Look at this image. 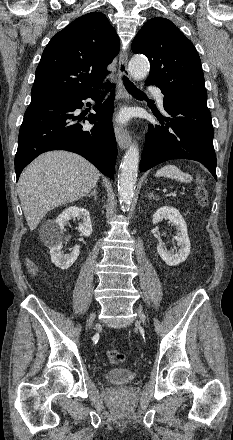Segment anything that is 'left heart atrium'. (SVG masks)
<instances>
[{"mask_svg":"<svg viewBox=\"0 0 233 440\" xmlns=\"http://www.w3.org/2000/svg\"><path fill=\"white\" fill-rule=\"evenodd\" d=\"M126 119H127V114L126 113H121L118 116V120L121 121V122H124Z\"/></svg>","mask_w":233,"mask_h":440,"instance_id":"39dd6f15","label":"left heart atrium"}]
</instances>
